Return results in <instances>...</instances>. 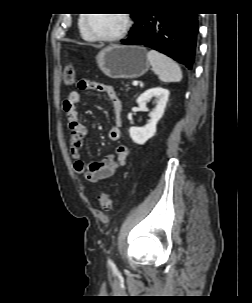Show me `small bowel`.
I'll list each match as a JSON object with an SVG mask.
<instances>
[{"label":"small bowel","mask_w":252,"mask_h":303,"mask_svg":"<svg viewBox=\"0 0 252 303\" xmlns=\"http://www.w3.org/2000/svg\"><path fill=\"white\" fill-rule=\"evenodd\" d=\"M79 90H96L107 95L113 107L114 125L109 130L108 136L111 141H118L121 138L122 127V104L113 86L89 80H81L78 83ZM81 102L79 91H71L63 103V110L66 114L67 139L69 150L74 158V170L83 175L90 182H98L102 179L114 176L118 170L126 165L129 149L125 145L117 146L115 152L107 155L100 161L85 163L80 159V152L87 135V125L81 121L77 105Z\"/></svg>","instance_id":"c3829d8e"}]
</instances>
